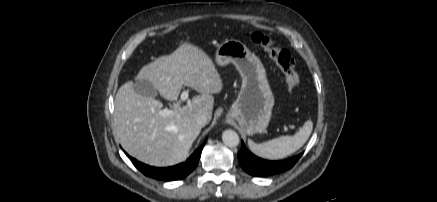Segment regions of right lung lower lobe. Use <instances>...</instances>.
I'll return each instance as SVG.
<instances>
[{
    "mask_svg": "<svg viewBox=\"0 0 437 202\" xmlns=\"http://www.w3.org/2000/svg\"><path fill=\"white\" fill-rule=\"evenodd\" d=\"M203 146L204 144L196 149L186 162L165 168L152 167L137 161L136 159L130 157L127 153L126 155L130 158L134 166L144 175L157 180L172 181L186 177L195 169L200 159Z\"/></svg>",
    "mask_w": 437,
    "mask_h": 202,
    "instance_id": "right-lung-lower-lobe-1",
    "label": "right lung lower lobe"
}]
</instances>
